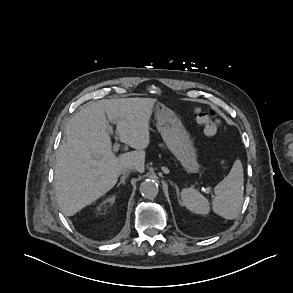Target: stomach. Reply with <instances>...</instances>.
<instances>
[{"label": "stomach", "mask_w": 293, "mask_h": 293, "mask_svg": "<svg viewBox=\"0 0 293 293\" xmlns=\"http://www.w3.org/2000/svg\"><path fill=\"white\" fill-rule=\"evenodd\" d=\"M155 115L164 142L184 171L189 174L197 173L200 166L196 149L180 120L172 110L161 103L156 104Z\"/></svg>", "instance_id": "0dacf381"}]
</instances>
